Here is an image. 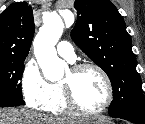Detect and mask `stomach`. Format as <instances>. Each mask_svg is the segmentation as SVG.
<instances>
[{
	"mask_svg": "<svg viewBox=\"0 0 145 124\" xmlns=\"http://www.w3.org/2000/svg\"><path fill=\"white\" fill-rule=\"evenodd\" d=\"M79 124H105L101 119H84Z\"/></svg>",
	"mask_w": 145,
	"mask_h": 124,
	"instance_id": "obj_1",
	"label": "stomach"
}]
</instances>
